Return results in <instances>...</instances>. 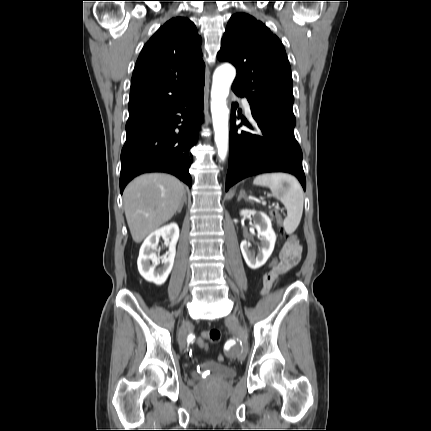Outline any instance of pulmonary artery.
Here are the masks:
<instances>
[{
	"instance_id": "1",
	"label": "pulmonary artery",
	"mask_w": 431,
	"mask_h": 431,
	"mask_svg": "<svg viewBox=\"0 0 431 431\" xmlns=\"http://www.w3.org/2000/svg\"><path fill=\"white\" fill-rule=\"evenodd\" d=\"M243 107L245 109V112L248 116H251V108H250V104L247 100H243L242 101Z\"/></svg>"
}]
</instances>
